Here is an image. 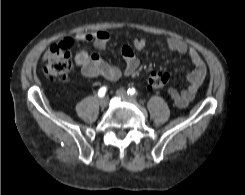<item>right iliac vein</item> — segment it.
Masks as SVG:
<instances>
[{"instance_id":"1","label":"right iliac vein","mask_w":245,"mask_h":195,"mask_svg":"<svg viewBox=\"0 0 245 195\" xmlns=\"http://www.w3.org/2000/svg\"><path fill=\"white\" fill-rule=\"evenodd\" d=\"M108 105V99L105 97V98H102L101 100H100V106L102 107V108H105L106 106Z\"/></svg>"}]
</instances>
